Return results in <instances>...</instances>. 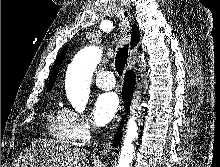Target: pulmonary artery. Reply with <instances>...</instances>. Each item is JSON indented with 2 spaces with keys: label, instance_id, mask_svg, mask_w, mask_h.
Returning <instances> with one entry per match:
<instances>
[{
  "label": "pulmonary artery",
  "instance_id": "obj_1",
  "mask_svg": "<svg viewBox=\"0 0 220 167\" xmlns=\"http://www.w3.org/2000/svg\"><path fill=\"white\" fill-rule=\"evenodd\" d=\"M96 85L104 90H110L115 87V78L110 71H101L95 75Z\"/></svg>",
  "mask_w": 220,
  "mask_h": 167
}]
</instances>
